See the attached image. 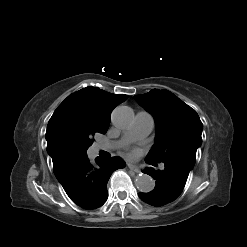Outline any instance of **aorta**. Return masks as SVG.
I'll return each instance as SVG.
<instances>
[{
	"instance_id": "obj_1",
	"label": "aorta",
	"mask_w": 247,
	"mask_h": 247,
	"mask_svg": "<svg viewBox=\"0 0 247 247\" xmlns=\"http://www.w3.org/2000/svg\"><path fill=\"white\" fill-rule=\"evenodd\" d=\"M134 114L128 106H118L112 112V122L119 128H127L133 122ZM135 186L140 192H150L155 186V182L147 174H140L135 178Z\"/></svg>"
}]
</instances>
